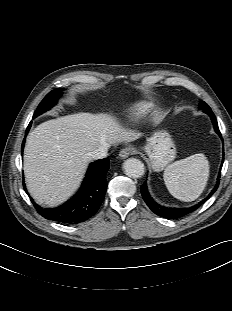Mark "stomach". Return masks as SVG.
<instances>
[{
  "instance_id": "1",
  "label": "stomach",
  "mask_w": 232,
  "mask_h": 311,
  "mask_svg": "<svg viewBox=\"0 0 232 311\" xmlns=\"http://www.w3.org/2000/svg\"><path fill=\"white\" fill-rule=\"evenodd\" d=\"M144 149L154 171L163 170L176 157L175 144L171 135L165 130L155 132L148 139Z\"/></svg>"
}]
</instances>
